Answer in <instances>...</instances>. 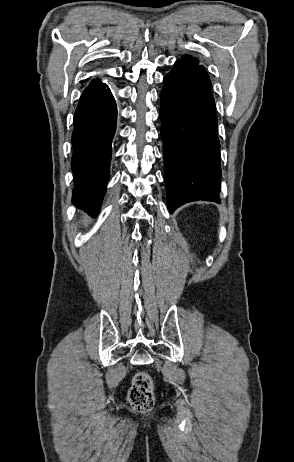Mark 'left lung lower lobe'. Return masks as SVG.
Masks as SVG:
<instances>
[{
  "label": "left lung lower lobe",
  "instance_id": "obj_1",
  "mask_svg": "<svg viewBox=\"0 0 294 462\" xmlns=\"http://www.w3.org/2000/svg\"><path fill=\"white\" fill-rule=\"evenodd\" d=\"M161 136L170 213L190 201L220 203V144L209 76L182 58L163 80Z\"/></svg>",
  "mask_w": 294,
  "mask_h": 462
}]
</instances>
